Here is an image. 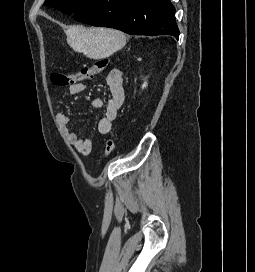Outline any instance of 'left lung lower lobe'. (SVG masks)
Masks as SVG:
<instances>
[{"label":"left lung lower lobe","mask_w":255,"mask_h":272,"mask_svg":"<svg viewBox=\"0 0 255 272\" xmlns=\"http://www.w3.org/2000/svg\"><path fill=\"white\" fill-rule=\"evenodd\" d=\"M73 19L130 35L179 36L170 0H93L75 12Z\"/></svg>","instance_id":"1"}]
</instances>
